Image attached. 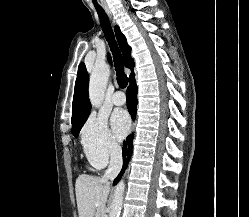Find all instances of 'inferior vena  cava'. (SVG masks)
Instances as JSON below:
<instances>
[{
	"instance_id": "obj_1",
	"label": "inferior vena cava",
	"mask_w": 249,
	"mask_h": 217,
	"mask_svg": "<svg viewBox=\"0 0 249 217\" xmlns=\"http://www.w3.org/2000/svg\"><path fill=\"white\" fill-rule=\"evenodd\" d=\"M121 168H122V150L117 143L113 142L110 145V164L103 176V180L113 181L114 178L119 174Z\"/></svg>"
}]
</instances>
